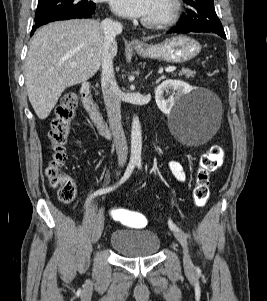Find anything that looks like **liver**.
<instances>
[{"label": "liver", "instance_id": "6515ba94", "mask_svg": "<svg viewBox=\"0 0 267 301\" xmlns=\"http://www.w3.org/2000/svg\"><path fill=\"white\" fill-rule=\"evenodd\" d=\"M104 33L94 19L58 21L41 27L32 38L25 62L29 101L46 119L63 91L90 79L100 69ZM117 54L114 41L109 50ZM77 65L72 67L71 63Z\"/></svg>", "mask_w": 267, "mask_h": 301}]
</instances>
